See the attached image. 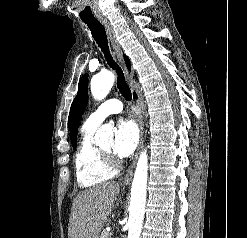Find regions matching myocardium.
<instances>
[{"mask_svg":"<svg viewBox=\"0 0 247 238\" xmlns=\"http://www.w3.org/2000/svg\"><path fill=\"white\" fill-rule=\"evenodd\" d=\"M100 151H101V154H102L104 160L106 161V163H107L109 166H111L113 169L116 168L117 163H116V161L114 160V158L112 157L111 152L105 151V150H103V149H100Z\"/></svg>","mask_w":247,"mask_h":238,"instance_id":"myocardium-1","label":"myocardium"}]
</instances>
